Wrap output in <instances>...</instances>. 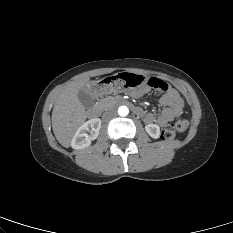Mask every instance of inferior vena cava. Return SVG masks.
<instances>
[{"label":"inferior vena cava","instance_id":"obj_1","mask_svg":"<svg viewBox=\"0 0 233 233\" xmlns=\"http://www.w3.org/2000/svg\"><path fill=\"white\" fill-rule=\"evenodd\" d=\"M116 115H117L116 111L114 109H110L103 113L102 118L104 120H110L112 118H115Z\"/></svg>","mask_w":233,"mask_h":233}]
</instances>
